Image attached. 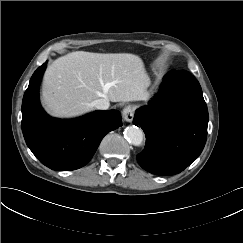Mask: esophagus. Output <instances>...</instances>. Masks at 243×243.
Returning <instances> with one entry per match:
<instances>
[{
  "mask_svg": "<svg viewBox=\"0 0 243 243\" xmlns=\"http://www.w3.org/2000/svg\"><path fill=\"white\" fill-rule=\"evenodd\" d=\"M123 119L126 122H131L134 118V107L132 105H127L122 111Z\"/></svg>",
  "mask_w": 243,
  "mask_h": 243,
  "instance_id": "obj_1",
  "label": "esophagus"
}]
</instances>
